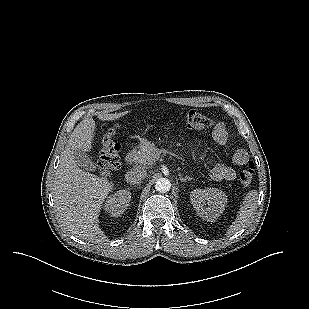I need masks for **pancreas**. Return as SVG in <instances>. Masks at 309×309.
<instances>
[{
    "label": "pancreas",
    "mask_w": 309,
    "mask_h": 309,
    "mask_svg": "<svg viewBox=\"0 0 309 309\" xmlns=\"http://www.w3.org/2000/svg\"><path fill=\"white\" fill-rule=\"evenodd\" d=\"M160 157V152L156 149L154 143L143 141L136 155V163L140 165H151Z\"/></svg>",
    "instance_id": "pancreas-1"
}]
</instances>
